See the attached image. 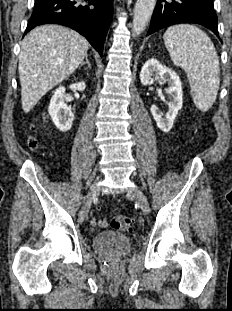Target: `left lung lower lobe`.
Here are the masks:
<instances>
[{
    "label": "left lung lower lobe",
    "mask_w": 232,
    "mask_h": 311,
    "mask_svg": "<svg viewBox=\"0 0 232 311\" xmlns=\"http://www.w3.org/2000/svg\"><path fill=\"white\" fill-rule=\"evenodd\" d=\"M179 23H196L220 39L213 0H158L147 35Z\"/></svg>",
    "instance_id": "0a47b994"
}]
</instances>
